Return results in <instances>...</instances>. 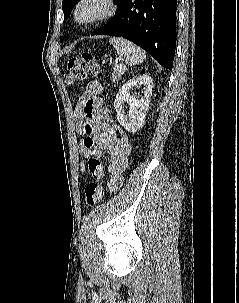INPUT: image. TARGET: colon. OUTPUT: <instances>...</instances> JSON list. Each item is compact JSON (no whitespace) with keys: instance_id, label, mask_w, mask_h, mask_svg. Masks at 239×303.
Here are the masks:
<instances>
[{"instance_id":"colon-1","label":"colon","mask_w":239,"mask_h":303,"mask_svg":"<svg viewBox=\"0 0 239 303\" xmlns=\"http://www.w3.org/2000/svg\"><path fill=\"white\" fill-rule=\"evenodd\" d=\"M67 75L66 81L69 84L78 83L83 81L88 76L97 78L102 77V70L92 54L85 53L80 57L71 58L67 62L66 67ZM85 138L83 140L84 146L90 151L87 165L89 173L92 177L90 182L84 190V199L87 206H94L102 201L105 196L103 187L104 168L99 156L95 153V140L92 137L94 127L91 123V115L85 114V121L82 127Z\"/></svg>"}]
</instances>
